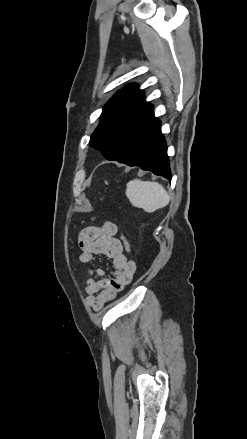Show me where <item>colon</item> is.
I'll return each instance as SVG.
<instances>
[{
  "instance_id": "obj_1",
  "label": "colon",
  "mask_w": 247,
  "mask_h": 439,
  "mask_svg": "<svg viewBox=\"0 0 247 439\" xmlns=\"http://www.w3.org/2000/svg\"><path fill=\"white\" fill-rule=\"evenodd\" d=\"M121 240H122V242H123V245H124V247H125V250L128 252V253H130V244H129V241H128V239H127V237L125 236V235H121Z\"/></svg>"
}]
</instances>
